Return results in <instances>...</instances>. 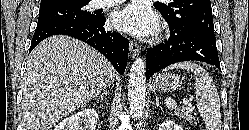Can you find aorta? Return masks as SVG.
Listing matches in <instances>:
<instances>
[{
	"label": "aorta",
	"instance_id": "obj_1",
	"mask_svg": "<svg viewBox=\"0 0 249 130\" xmlns=\"http://www.w3.org/2000/svg\"><path fill=\"white\" fill-rule=\"evenodd\" d=\"M146 65L140 56L133 62L129 73L128 99L132 117L137 120L143 115L146 98Z\"/></svg>",
	"mask_w": 249,
	"mask_h": 130
}]
</instances>
